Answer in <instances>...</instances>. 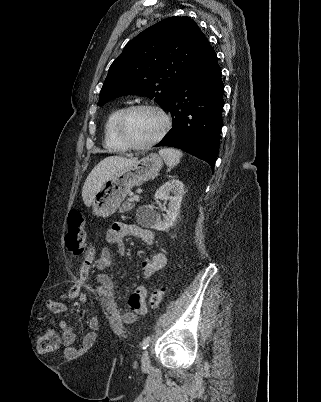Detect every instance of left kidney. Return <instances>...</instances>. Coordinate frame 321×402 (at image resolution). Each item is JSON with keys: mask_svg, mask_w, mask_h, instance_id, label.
I'll return each mask as SVG.
<instances>
[{"mask_svg": "<svg viewBox=\"0 0 321 402\" xmlns=\"http://www.w3.org/2000/svg\"><path fill=\"white\" fill-rule=\"evenodd\" d=\"M170 192L173 193L174 196H170ZM184 193V184L181 181L171 179L165 182L154 195L155 200H169L168 208H164L166 212L164 219L161 220L159 214L155 212L154 207L149 205L139 208L137 211L138 221L155 230L165 231L169 229L174 224L179 214Z\"/></svg>", "mask_w": 321, "mask_h": 402, "instance_id": "1", "label": "left kidney"}]
</instances>
